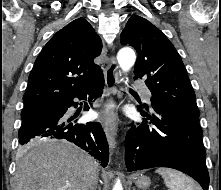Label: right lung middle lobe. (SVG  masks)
I'll return each mask as SVG.
<instances>
[{
	"label": "right lung middle lobe",
	"instance_id": "dd1d6c3e",
	"mask_svg": "<svg viewBox=\"0 0 221 190\" xmlns=\"http://www.w3.org/2000/svg\"><path fill=\"white\" fill-rule=\"evenodd\" d=\"M51 105H53V104L45 105V106H41V107L23 109L21 112L22 121L39 114L40 112L44 111L45 109H47Z\"/></svg>",
	"mask_w": 221,
	"mask_h": 190
}]
</instances>
